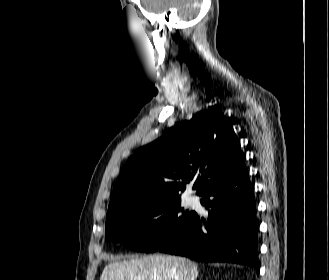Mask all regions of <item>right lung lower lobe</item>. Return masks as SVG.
<instances>
[{
  "instance_id": "98d812e1",
  "label": "right lung lower lobe",
  "mask_w": 329,
  "mask_h": 280,
  "mask_svg": "<svg viewBox=\"0 0 329 280\" xmlns=\"http://www.w3.org/2000/svg\"><path fill=\"white\" fill-rule=\"evenodd\" d=\"M200 196L207 198L201 203L210 208L208 220L196 214L158 250L201 262L247 264L258 272L256 203L246 165L225 173Z\"/></svg>"
}]
</instances>
